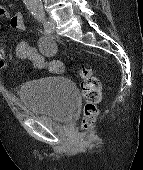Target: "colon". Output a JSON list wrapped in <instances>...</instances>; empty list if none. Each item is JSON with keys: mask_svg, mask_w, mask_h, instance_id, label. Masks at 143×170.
I'll return each mask as SVG.
<instances>
[{"mask_svg": "<svg viewBox=\"0 0 143 170\" xmlns=\"http://www.w3.org/2000/svg\"><path fill=\"white\" fill-rule=\"evenodd\" d=\"M63 70V64L56 66V71L61 72ZM79 76L82 80L81 89L82 95L86 102L84 109V119L83 125L85 127L93 123L98 113L97 105L102 97V87L101 83L93 74L91 69L82 68L80 70Z\"/></svg>", "mask_w": 143, "mask_h": 170, "instance_id": "obj_1", "label": "colon"}]
</instances>
